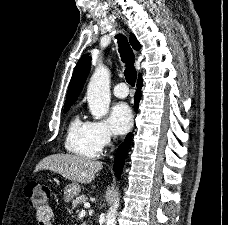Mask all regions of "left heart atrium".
<instances>
[{
  "mask_svg": "<svg viewBox=\"0 0 228 225\" xmlns=\"http://www.w3.org/2000/svg\"><path fill=\"white\" fill-rule=\"evenodd\" d=\"M110 121L116 134L126 133L132 122V112L129 106L125 103L116 104L111 110Z\"/></svg>",
  "mask_w": 228,
  "mask_h": 225,
  "instance_id": "left-heart-atrium-1",
  "label": "left heart atrium"
}]
</instances>
